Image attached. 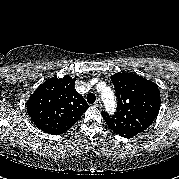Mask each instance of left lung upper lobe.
<instances>
[{"mask_svg": "<svg viewBox=\"0 0 179 179\" xmlns=\"http://www.w3.org/2000/svg\"><path fill=\"white\" fill-rule=\"evenodd\" d=\"M118 98L117 112L101 115L118 135L131 138L146 130L155 120L160 109L158 86L133 73H116L112 76Z\"/></svg>", "mask_w": 179, "mask_h": 179, "instance_id": "1", "label": "left lung upper lobe"}]
</instances>
